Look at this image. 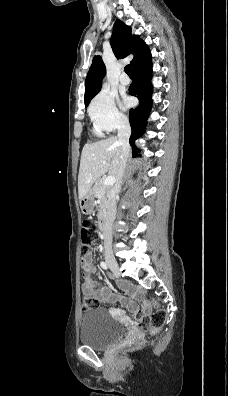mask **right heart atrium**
I'll return each mask as SVG.
<instances>
[{"mask_svg": "<svg viewBox=\"0 0 228 396\" xmlns=\"http://www.w3.org/2000/svg\"><path fill=\"white\" fill-rule=\"evenodd\" d=\"M88 112L95 128L103 132L114 131L127 122L117 107L116 97L107 91L99 92L91 100Z\"/></svg>", "mask_w": 228, "mask_h": 396, "instance_id": "obj_1", "label": "right heart atrium"}]
</instances>
